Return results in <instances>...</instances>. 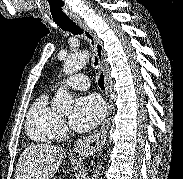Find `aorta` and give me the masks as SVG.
I'll return each mask as SVG.
<instances>
[{"label":"aorta","instance_id":"762f6f07","mask_svg":"<svg viewBox=\"0 0 183 179\" xmlns=\"http://www.w3.org/2000/svg\"><path fill=\"white\" fill-rule=\"evenodd\" d=\"M89 61L88 52H80L70 55L64 62L63 72L66 75H71L82 69ZM73 107V97L63 87L59 88L52 100V108L59 111H70ZM102 165L94 171L91 179H98L101 175Z\"/></svg>","mask_w":183,"mask_h":179}]
</instances>
